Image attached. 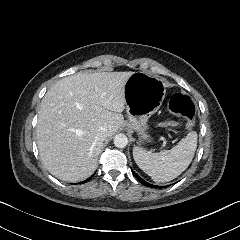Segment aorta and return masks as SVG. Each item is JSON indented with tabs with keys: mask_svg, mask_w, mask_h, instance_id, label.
<instances>
[{
	"mask_svg": "<svg viewBox=\"0 0 240 240\" xmlns=\"http://www.w3.org/2000/svg\"><path fill=\"white\" fill-rule=\"evenodd\" d=\"M128 144V138L125 134H117L114 137V145L117 148H124Z\"/></svg>",
	"mask_w": 240,
	"mask_h": 240,
	"instance_id": "obj_1",
	"label": "aorta"
}]
</instances>
